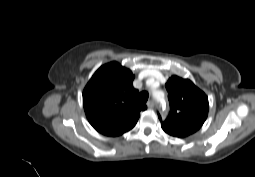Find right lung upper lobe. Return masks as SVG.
I'll return each mask as SVG.
<instances>
[{
    "label": "right lung upper lobe",
    "mask_w": 255,
    "mask_h": 177,
    "mask_svg": "<svg viewBox=\"0 0 255 177\" xmlns=\"http://www.w3.org/2000/svg\"><path fill=\"white\" fill-rule=\"evenodd\" d=\"M131 70L117 62L101 66L83 91V106L89 123L106 136H119L132 129L146 105L136 101L138 90Z\"/></svg>",
    "instance_id": "1"
}]
</instances>
